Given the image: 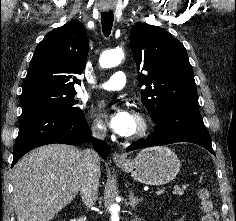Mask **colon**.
Returning <instances> with one entry per match:
<instances>
[{"label": "colon", "mask_w": 236, "mask_h": 221, "mask_svg": "<svg viewBox=\"0 0 236 221\" xmlns=\"http://www.w3.org/2000/svg\"><path fill=\"white\" fill-rule=\"evenodd\" d=\"M199 199L203 211L202 221H217V212L212 200L210 199L209 192L205 188L199 190Z\"/></svg>", "instance_id": "colon-1"}]
</instances>
